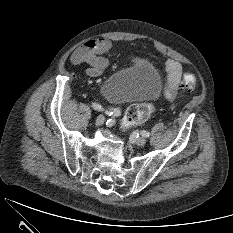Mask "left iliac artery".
<instances>
[{
	"label": "left iliac artery",
	"instance_id": "left-iliac-artery-1",
	"mask_svg": "<svg viewBox=\"0 0 233 233\" xmlns=\"http://www.w3.org/2000/svg\"><path fill=\"white\" fill-rule=\"evenodd\" d=\"M141 134L144 137H149L150 136V133L148 131H145V130L141 131Z\"/></svg>",
	"mask_w": 233,
	"mask_h": 233
}]
</instances>
